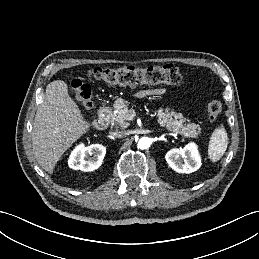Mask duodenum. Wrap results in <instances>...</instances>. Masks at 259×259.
Returning <instances> with one entry per match:
<instances>
[{
  "label": "duodenum",
  "mask_w": 259,
  "mask_h": 259,
  "mask_svg": "<svg viewBox=\"0 0 259 259\" xmlns=\"http://www.w3.org/2000/svg\"><path fill=\"white\" fill-rule=\"evenodd\" d=\"M110 121V111L107 107H103L97 119L93 122V126L98 129V130H103L105 129Z\"/></svg>",
  "instance_id": "1"
}]
</instances>
